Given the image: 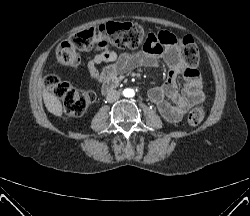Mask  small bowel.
Returning a JSON list of instances; mask_svg holds the SVG:
<instances>
[{
    "instance_id": "1",
    "label": "small bowel",
    "mask_w": 250,
    "mask_h": 216,
    "mask_svg": "<svg viewBox=\"0 0 250 216\" xmlns=\"http://www.w3.org/2000/svg\"><path fill=\"white\" fill-rule=\"evenodd\" d=\"M142 44L144 49L141 51L120 54L111 50L96 52L87 63L88 73L94 81L103 83L139 67H156L163 59L169 66V72L161 86L149 90L148 97L165 120L177 123L191 107L204 100L201 76L196 69L184 65L173 33L147 32ZM102 63H107V66L100 70L98 65ZM178 76L185 81L181 90L177 86Z\"/></svg>"
}]
</instances>
